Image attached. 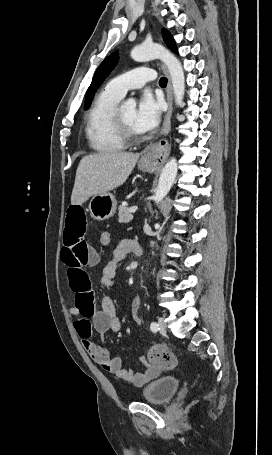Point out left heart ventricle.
I'll return each instance as SVG.
<instances>
[{"label": "left heart ventricle", "mask_w": 272, "mask_h": 455, "mask_svg": "<svg viewBox=\"0 0 272 455\" xmlns=\"http://www.w3.org/2000/svg\"><path fill=\"white\" fill-rule=\"evenodd\" d=\"M121 116L127 126L132 129L134 132H137L134 128V119L136 110L133 108H124L120 110Z\"/></svg>", "instance_id": "b2bd125f"}]
</instances>
